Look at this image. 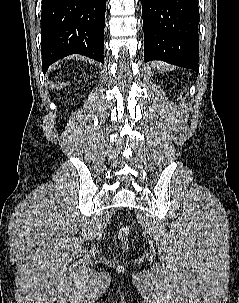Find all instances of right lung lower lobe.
<instances>
[{
    "mask_svg": "<svg viewBox=\"0 0 239 303\" xmlns=\"http://www.w3.org/2000/svg\"><path fill=\"white\" fill-rule=\"evenodd\" d=\"M106 0H42L43 71L53 62L81 54L104 63Z\"/></svg>",
    "mask_w": 239,
    "mask_h": 303,
    "instance_id": "1",
    "label": "right lung lower lobe"
}]
</instances>
